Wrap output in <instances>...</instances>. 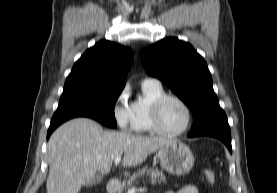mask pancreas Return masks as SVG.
I'll return each instance as SVG.
<instances>
[{"label":"pancreas","mask_w":277,"mask_h":193,"mask_svg":"<svg viewBox=\"0 0 277 193\" xmlns=\"http://www.w3.org/2000/svg\"><path fill=\"white\" fill-rule=\"evenodd\" d=\"M138 178H143V180L149 179L151 184H161L166 182V177L163 171L154 168L143 167L142 169H139L137 172L133 173L132 176L128 178V180H124L120 184V190L126 192L133 186L134 182Z\"/></svg>","instance_id":"obj_1"}]
</instances>
